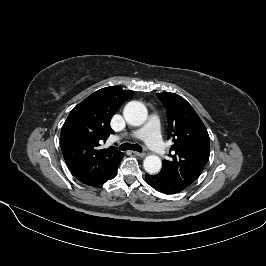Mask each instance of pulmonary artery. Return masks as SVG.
Wrapping results in <instances>:
<instances>
[{
  "label": "pulmonary artery",
  "mask_w": 266,
  "mask_h": 266,
  "mask_svg": "<svg viewBox=\"0 0 266 266\" xmlns=\"http://www.w3.org/2000/svg\"><path fill=\"white\" fill-rule=\"evenodd\" d=\"M135 138L143 139L149 148L157 155L165 154V147L160 135V125L157 117H151L147 123L132 133Z\"/></svg>",
  "instance_id": "e3ab8cb5"
}]
</instances>
